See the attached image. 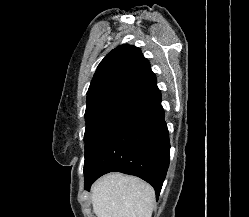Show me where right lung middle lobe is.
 I'll list each match as a JSON object with an SVG mask.
<instances>
[{
	"mask_svg": "<svg viewBox=\"0 0 249 217\" xmlns=\"http://www.w3.org/2000/svg\"><path fill=\"white\" fill-rule=\"evenodd\" d=\"M121 92H109L87 100L85 112L86 129L84 134L85 150L89 145L92 134L101 118L110 106L122 95Z\"/></svg>",
	"mask_w": 249,
	"mask_h": 217,
	"instance_id": "obj_1",
	"label": "right lung middle lobe"
}]
</instances>
